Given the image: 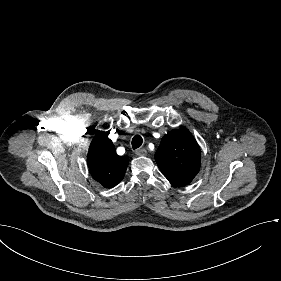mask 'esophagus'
<instances>
[{"label": "esophagus", "instance_id": "esophagus-1", "mask_svg": "<svg viewBox=\"0 0 281 281\" xmlns=\"http://www.w3.org/2000/svg\"><path fill=\"white\" fill-rule=\"evenodd\" d=\"M136 155L138 156H146L147 155V151L145 149H138L135 151Z\"/></svg>", "mask_w": 281, "mask_h": 281}]
</instances>
